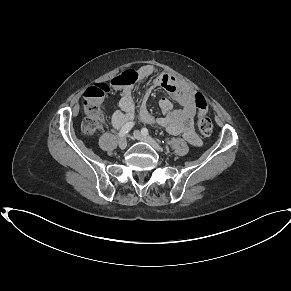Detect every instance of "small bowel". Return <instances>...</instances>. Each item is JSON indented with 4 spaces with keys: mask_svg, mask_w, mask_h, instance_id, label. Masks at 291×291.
<instances>
[{
    "mask_svg": "<svg viewBox=\"0 0 291 291\" xmlns=\"http://www.w3.org/2000/svg\"><path fill=\"white\" fill-rule=\"evenodd\" d=\"M153 65H144L138 70L139 80L145 79L155 73ZM152 89L162 88L176 101L181 108L174 109L169 98L163 97L159 106L163 111L160 117H154L145 107L136 110L133 100V86L122 89L119 101L120 110L111 114V125L114 129L122 127L126 122L136 119L137 121L165 127L173 135L181 134L192 145L199 146L201 140L194 130L193 119L196 114L193 102L194 89L184 81L175 78L165 72L159 73L153 80Z\"/></svg>",
    "mask_w": 291,
    "mask_h": 291,
    "instance_id": "obj_1",
    "label": "small bowel"
}]
</instances>
